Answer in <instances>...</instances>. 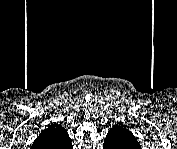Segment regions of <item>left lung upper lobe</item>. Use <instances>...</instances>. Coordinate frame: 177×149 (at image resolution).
Listing matches in <instances>:
<instances>
[{"instance_id":"5c2ea615","label":"left lung upper lobe","mask_w":177,"mask_h":149,"mask_svg":"<svg viewBox=\"0 0 177 149\" xmlns=\"http://www.w3.org/2000/svg\"><path fill=\"white\" fill-rule=\"evenodd\" d=\"M109 136L111 137L122 136V138L124 139L123 140L124 145L118 149H138L140 147V144L133 136V134L123 126L117 125L111 128L106 138Z\"/></svg>"}]
</instances>
